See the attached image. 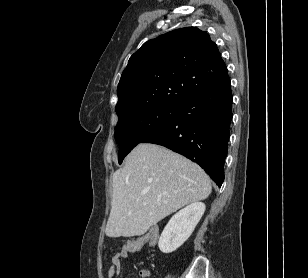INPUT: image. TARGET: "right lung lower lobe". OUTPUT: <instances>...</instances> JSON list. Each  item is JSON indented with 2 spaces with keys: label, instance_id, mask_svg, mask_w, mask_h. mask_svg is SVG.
Returning <instances> with one entry per match:
<instances>
[{
  "label": "right lung lower lobe",
  "instance_id": "98d812e1",
  "mask_svg": "<svg viewBox=\"0 0 308 278\" xmlns=\"http://www.w3.org/2000/svg\"><path fill=\"white\" fill-rule=\"evenodd\" d=\"M230 80L178 106L177 117L142 143H154L198 163L221 187L232 119Z\"/></svg>",
  "mask_w": 308,
  "mask_h": 278
}]
</instances>
